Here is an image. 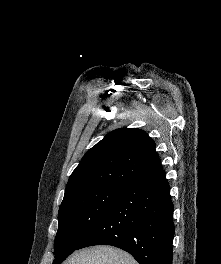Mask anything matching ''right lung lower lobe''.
<instances>
[{
  "label": "right lung lower lobe",
  "mask_w": 221,
  "mask_h": 264,
  "mask_svg": "<svg viewBox=\"0 0 221 264\" xmlns=\"http://www.w3.org/2000/svg\"><path fill=\"white\" fill-rule=\"evenodd\" d=\"M173 209L161 168L129 182L78 249L112 245L129 252L140 264H172Z\"/></svg>",
  "instance_id": "98d812e1"
}]
</instances>
